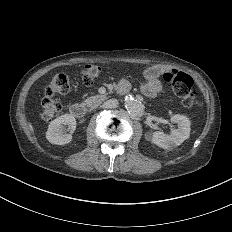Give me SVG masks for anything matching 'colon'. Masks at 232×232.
Returning a JSON list of instances; mask_svg holds the SVG:
<instances>
[{
    "label": "colon",
    "instance_id": "obj_1",
    "mask_svg": "<svg viewBox=\"0 0 232 232\" xmlns=\"http://www.w3.org/2000/svg\"><path fill=\"white\" fill-rule=\"evenodd\" d=\"M103 68L98 65L87 64L84 68H80V73H83L81 84L85 88H90L94 84L92 76H98V72H102ZM52 79L55 81H45L43 94L47 98H35V103H39V107H44L45 114L48 117H62L59 100H51L50 98H61L65 92L69 91V78L66 74H52ZM164 79L169 85L175 86V92L182 97V103L185 107H196V94H189L193 86V80L187 74L179 70L169 69L164 74Z\"/></svg>",
    "mask_w": 232,
    "mask_h": 232
}]
</instances>
